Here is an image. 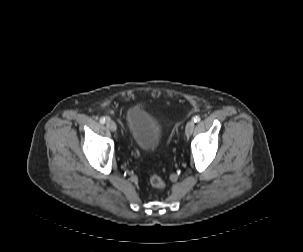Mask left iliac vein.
Wrapping results in <instances>:
<instances>
[{
  "mask_svg": "<svg viewBox=\"0 0 303 252\" xmlns=\"http://www.w3.org/2000/svg\"><path fill=\"white\" fill-rule=\"evenodd\" d=\"M194 127H195V122L193 120L188 121L185 129V134L187 137H189L192 134Z\"/></svg>",
  "mask_w": 303,
  "mask_h": 252,
  "instance_id": "left-iliac-vein-1",
  "label": "left iliac vein"
}]
</instances>
